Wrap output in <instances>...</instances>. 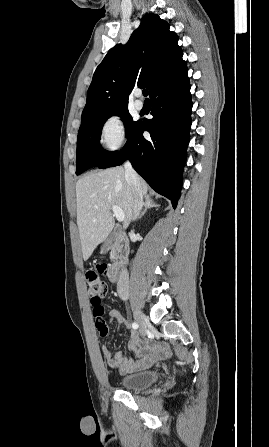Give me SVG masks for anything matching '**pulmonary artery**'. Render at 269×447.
<instances>
[{
  "label": "pulmonary artery",
  "instance_id": "1",
  "mask_svg": "<svg viewBox=\"0 0 269 447\" xmlns=\"http://www.w3.org/2000/svg\"><path fill=\"white\" fill-rule=\"evenodd\" d=\"M135 106L138 110H141L144 106L143 100L140 98L139 95L136 96Z\"/></svg>",
  "mask_w": 269,
  "mask_h": 447
}]
</instances>
